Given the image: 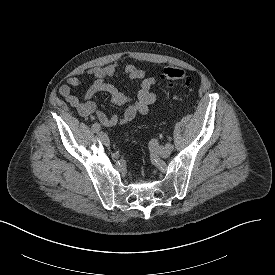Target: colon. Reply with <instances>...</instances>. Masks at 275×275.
<instances>
[{
    "mask_svg": "<svg viewBox=\"0 0 275 275\" xmlns=\"http://www.w3.org/2000/svg\"><path fill=\"white\" fill-rule=\"evenodd\" d=\"M161 79L169 84L180 83L188 86L192 83V78L186 70L179 67H166L161 71Z\"/></svg>",
    "mask_w": 275,
    "mask_h": 275,
    "instance_id": "obj_1",
    "label": "colon"
}]
</instances>
